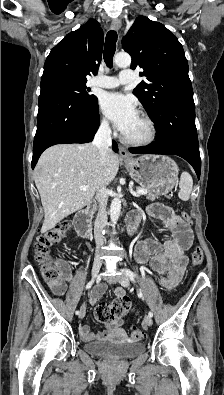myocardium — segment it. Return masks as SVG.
<instances>
[{
    "mask_svg": "<svg viewBox=\"0 0 224 395\" xmlns=\"http://www.w3.org/2000/svg\"><path fill=\"white\" fill-rule=\"evenodd\" d=\"M139 118L144 122L146 127V133L142 137L139 138H131L126 135H122V140L128 145L141 147L147 146L151 144L157 136V129L154 121L146 114V113H139Z\"/></svg>",
    "mask_w": 224,
    "mask_h": 395,
    "instance_id": "1",
    "label": "myocardium"
}]
</instances>
